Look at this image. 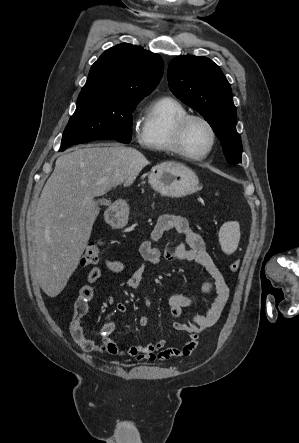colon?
I'll return each mask as SVG.
<instances>
[{
	"instance_id": "5ec220e1",
	"label": "colon",
	"mask_w": 299,
	"mask_h": 443,
	"mask_svg": "<svg viewBox=\"0 0 299 443\" xmlns=\"http://www.w3.org/2000/svg\"><path fill=\"white\" fill-rule=\"evenodd\" d=\"M101 252H102L101 242L99 241L90 242L87 245L85 252L82 255L81 265L87 266L96 263L100 259ZM239 266H240L239 260H233L229 264V269L232 272H235L239 269Z\"/></svg>"
}]
</instances>
